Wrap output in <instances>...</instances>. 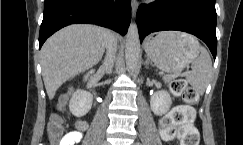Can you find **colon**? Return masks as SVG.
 <instances>
[{"mask_svg": "<svg viewBox=\"0 0 243 145\" xmlns=\"http://www.w3.org/2000/svg\"><path fill=\"white\" fill-rule=\"evenodd\" d=\"M170 88L173 94L182 97L185 105L173 108L160 120V135L165 141L177 137L181 145H198L199 133L193 124L194 110L191 107L197 101V92L182 78L173 80ZM62 132V118L59 115H53L48 124V135L55 145L60 144Z\"/></svg>", "mask_w": 243, "mask_h": 145, "instance_id": "colon-1", "label": "colon"}]
</instances>
